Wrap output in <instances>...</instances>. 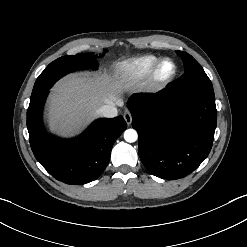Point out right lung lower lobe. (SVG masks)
Returning <instances> with one entry per match:
<instances>
[{"label": "right lung lower lobe", "instance_id": "obj_1", "mask_svg": "<svg viewBox=\"0 0 247 247\" xmlns=\"http://www.w3.org/2000/svg\"><path fill=\"white\" fill-rule=\"evenodd\" d=\"M47 95L27 110L29 141L35 158L54 178L66 184L96 180L109 163L113 144L127 127L124 118L98 119L80 136L60 140L49 136L43 126Z\"/></svg>", "mask_w": 247, "mask_h": 247}]
</instances>
